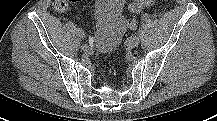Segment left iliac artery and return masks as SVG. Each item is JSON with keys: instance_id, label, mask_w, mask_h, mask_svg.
<instances>
[{"instance_id": "obj_1", "label": "left iliac artery", "mask_w": 217, "mask_h": 121, "mask_svg": "<svg viewBox=\"0 0 217 121\" xmlns=\"http://www.w3.org/2000/svg\"><path fill=\"white\" fill-rule=\"evenodd\" d=\"M142 21L143 22H150L151 21V16L149 15V14H144L143 16H142Z\"/></svg>"}]
</instances>
